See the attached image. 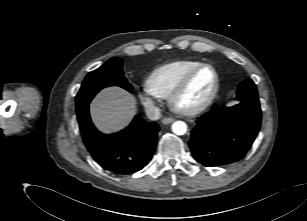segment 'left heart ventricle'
Here are the masks:
<instances>
[{"label":"left heart ventricle","instance_id":"obj_1","mask_svg":"<svg viewBox=\"0 0 307 221\" xmlns=\"http://www.w3.org/2000/svg\"><path fill=\"white\" fill-rule=\"evenodd\" d=\"M215 75L210 68L203 69L193 80L190 87L180 99L182 108H190L203 102L211 93Z\"/></svg>","mask_w":307,"mask_h":221}]
</instances>
